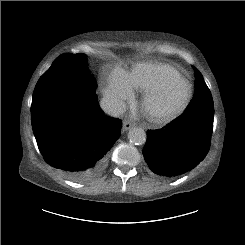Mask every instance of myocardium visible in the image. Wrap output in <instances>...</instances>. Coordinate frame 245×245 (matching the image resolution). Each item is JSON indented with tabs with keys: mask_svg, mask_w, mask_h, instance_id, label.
I'll use <instances>...</instances> for the list:
<instances>
[{
	"mask_svg": "<svg viewBox=\"0 0 245 245\" xmlns=\"http://www.w3.org/2000/svg\"><path fill=\"white\" fill-rule=\"evenodd\" d=\"M185 84V92L180 100L171 106L160 107L158 101L178 82ZM193 97V88L188 79L181 74H176L167 83L145 91L142 100V109L146 118L155 124L168 122L180 115L190 104Z\"/></svg>",
	"mask_w": 245,
	"mask_h": 245,
	"instance_id": "myocardium-1",
	"label": "myocardium"
}]
</instances>
